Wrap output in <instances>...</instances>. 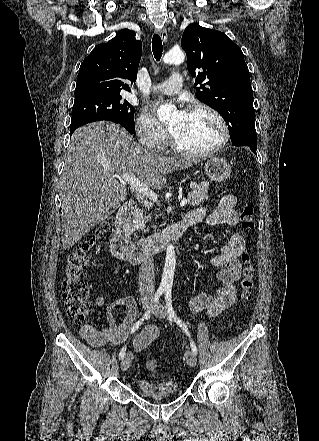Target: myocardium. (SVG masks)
Wrapping results in <instances>:
<instances>
[{
    "mask_svg": "<svg viewBox=\"0 0 319 441\" xmlns=\"http://www.w3.org/2000/svg\"><path fill=\"white\" fill-rule=\"evenodd\" d=\"M198 110H203V111L208 112L217 120V122L221 128V139L218 142V144H216L215 146H213L210 149L203 150V151H192V150H188V149H185L182 146H180L171 133L170 134L171 147L176 153H178L180 155L189 156V157H208V156H211V155L217 153L218 151H220L227 144V142L229 140V129H228L227 122L224 119V117L216 109H214L213 107H211L207 104H204V103H194V104H191L187 107L186 112H195Z\"/></svg>",
    "mask_w": 319,
    "mask_h": 441,
    "instance_id": "f54148a6",
    "label": "myocardium"
}]
</instances>
